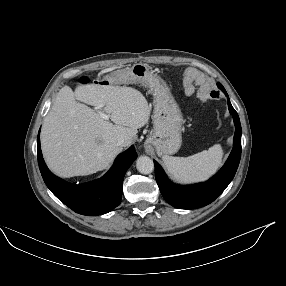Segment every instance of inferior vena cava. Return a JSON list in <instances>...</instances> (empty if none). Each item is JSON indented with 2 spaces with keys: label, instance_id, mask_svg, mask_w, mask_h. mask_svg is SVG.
<instances>
[{
  "label": "inferior vena cava",
  "instance_id": "obj_1",
  "mask_svg": "<svg viewBox=\"0 0 286 286\" xmlns=\"http://www.w3.org/2000/svg\"><path fill=\"white\" fill-rule=\"evenodd\" d=\"M117 144H118L119 146L125 147V146H126V140L121 137V138L118 139Z\"/></svg>",
  "mask_w": 286,
  "mask_h": 286
}]
</instances>
